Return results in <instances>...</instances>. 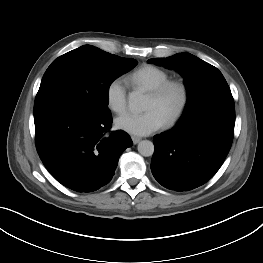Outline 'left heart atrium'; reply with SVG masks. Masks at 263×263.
Masks as SVG:
<instances>
[{
    "instance_id": "obj_1",
    "label": "left heart atrium",
    "mask_w": 263,
    "mask_h": 263,
    "mask_svg": "<svg viewBox=\"0 0 263 263\" xmlns=\"http://www.w3.org/2000/svg\"><path fill=\"white\" fill-rule=\"evenodd\" d=\"M118 129L136 136H146L164 125L163 117L154 109L142 113L127 112L115 120Z\"/></svg>"
}]
</instances>
